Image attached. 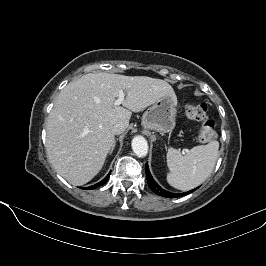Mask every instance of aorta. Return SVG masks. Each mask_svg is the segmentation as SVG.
Listing matches in <instances>:
<instances>
[{
  "instance_id": "obj_1",
  "label": "aorta",
  "mask_w": 266,
  "mask_h": 266,
  "mask_svg": "<svg viewBox=\"0 0 266 266\" xmlns=\"http://www.w3.org/2000/svg\"><path fill=\"white\" fill-rule=\"evenodd\" d=\"M132 150L138 157H145L148 153V143L142 136H136L132 140Z\"/></svg>"
}]
</instances>
